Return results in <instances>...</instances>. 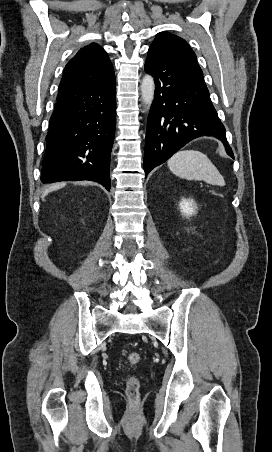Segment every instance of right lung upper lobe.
<instances>
[{
  "instance_id": "obj_1",
  "label": "right lung upper lobe",
  "mask_w": 272,
  "mask_h": 452,
  "mask_svg": "<svg viewBox=\"0 0 272 452\" xmlns=\"http://www.w3.org/2000/svg\"><path fill=\"white\" fill-rule=\"evenodd\" d=\"M114 76L106 51L96 43L82 48L65 66L57 101L100 86Z\"/></svg>"
}]
</instances>
